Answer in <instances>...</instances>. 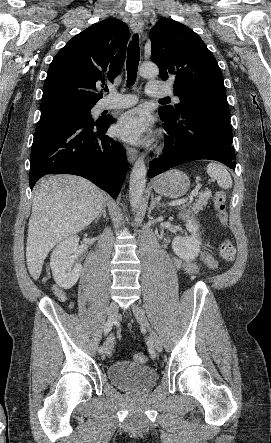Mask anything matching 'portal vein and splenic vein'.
Segmentation results:
<instances>
[{
  "instance_id": "portal-vein-and-splenic-vein-1",
  "label": "portal vein and splenic vein",
  "mask_w": 271,
  "mask_h": 443,
  "mask_svg": "<svg viewBox=\"0 0 271 443\" xmlns=\"http://www.w3.org/2000/svg\"><path fill=\"white\" fill-rule=\"evenodd\" d=\"M198 193V187H193L192 189H190V191L188 192L189 200L195 199ZM188 198L187 200H176V202H171L170 206H180V204H186V202H188Z\"/></svg>"
}]
</instances>
